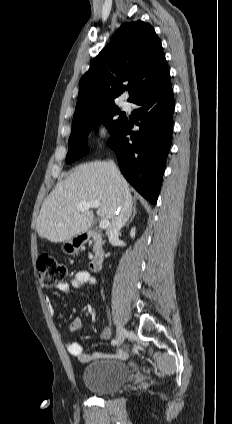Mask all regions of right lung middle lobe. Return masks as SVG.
<instances>
[{"label":"right lung middle lobe","instance_id":"right-lung-middle-lobe-1","mask_svg":"<svg viewBox=\"0 0 232 424\" xmlns=\"http://www.w3.org/2000/svg\"><path fill=\"white\" fill-rule=\"evenodd\" d=\"M116 115H120V117L117 118ZM121 116L119 108L114 105L96 109L74 118L68 142L66 163L69 164L87 153V136L90 130L103 123L113 135L127 122V119Z\"/></svg>","mask_w":232,"mask_h":424}]
</instances>
